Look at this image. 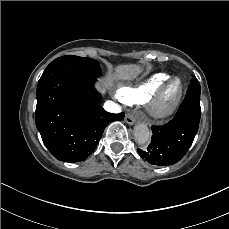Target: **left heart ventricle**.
<instances>
[{"label": "left heart ventricle", "instance_id": "b2bd125f", "mask_svg": "<svg viewBox=\"0 0 229 229\" xmlns=\"http://www.w3.org/2000/svg\"><path fill=\"white\" fill-rule=\"evenodd\" d=\"M178 88V86L176 85L175 87H174V90H176Z\"/></svg>", "mask_w": 229, "mask_h": 229}]
</instances>
